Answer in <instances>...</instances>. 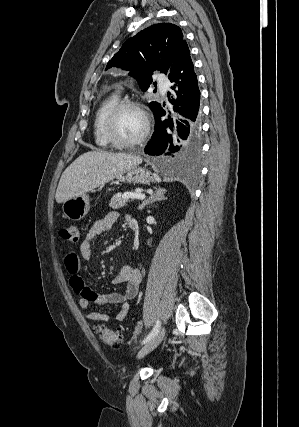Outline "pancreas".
Returning a JSON list of instances; mask_svg holds the SVG:
<instances>
[{
	"label": "pancreas",
	"instance_id": "cf45deb5",
	"mask_svg": "<svg viewBox=\"0 0 299 427\" xmlns=\"http://www.w3.org/2000/svg\"><path fill=\"white\" fill-rule=\"evenodd\" d=\"M129 201H130L129 198L128 199L123 198L122 194H116L111 198L109 206L112 209H119L123 206H126Z\"/></svg>",
	"mask_w": 299,
	"mask_h": 427
}]
</instances>
